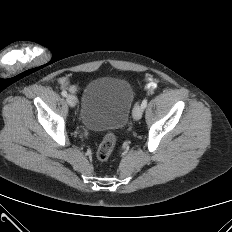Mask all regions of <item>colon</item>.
<instances>
[{
	"instance_id": "1",
	"label": "colon",
	"mask_w": 232,
	"mask_h": 232,
	"mask_svg": "<svg viewBox=\"0 0 232 232\" xmlns=\"http://www.w3.org/2000/svg\"><path fill=\"white\" fill-rule=\"evenodd\" d=\"M115 142L116 138L114 134H106L97 148V158L101 161L107 160L113 152Z\"/></svg>"
}]
</instances>
